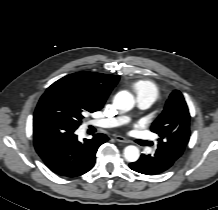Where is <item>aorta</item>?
<instances>
[{
	"mask_svg": "<svg viewBox=\"0 0 218 210\" xmlns=\"http://www.w3.org/2000/svg\"><path fill=\"white\" fill-rule=\"evenodd\" d=\"M135 104L134 97L128 91H120L114 97V106L122 112L130 111ZM139 149L134 145H129L124 149V158L128 162H135L139 159Z\"/></svg>",
	"mask_w": 218,
	"mask_h": 210,
	"instance_id": "obj_1",
	"label": "aorta"
}]
</instances>
